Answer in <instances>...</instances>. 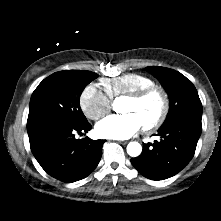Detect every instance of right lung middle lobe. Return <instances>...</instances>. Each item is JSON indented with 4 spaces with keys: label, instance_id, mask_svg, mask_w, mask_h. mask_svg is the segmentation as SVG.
<instances>
[{
    "label": "right lung middle lobe",
    "instance_id": "dd1d6c3e",
    "mask_svg": "<svg viewBox=\"0 0 221 221\" xmlns=\"http://www.w3.org/2000/svg\"><path fill=\"white\" fill-rule=\"evenodd\" d=\"M98 75L91 71L64 70L44 79L31 96L28 133L51 122H87L80 108V95Z\"/></svg>",
    "mask_w": 221,
    "mask_h": 221
}]
</instances>
